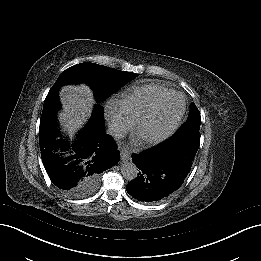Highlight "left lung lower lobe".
Here are the masks:
<instances>
[{
  "label": "left lung lower lobe",
  "mask_w": 261,
  "mask_h": 261,
  "mask_svg": "<svg viewBox=\"0 0 261 261\" xmlns=\"http://www.w3.org/2000/svg\"><path fill=\"white\" fill-rule=\"evenodd\" d=\"M199 145L175 134L161 144L133 154L139 169L127 192L144 203L161 202L175 193L189 174Z\"/></svg>",
  "instance_id": "0a47b994"
}]
</instances>
